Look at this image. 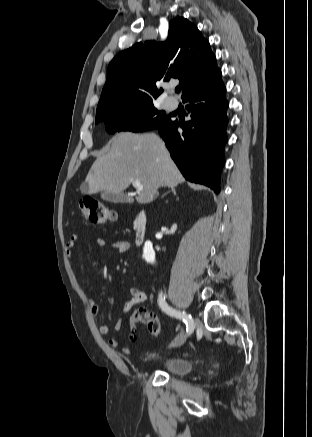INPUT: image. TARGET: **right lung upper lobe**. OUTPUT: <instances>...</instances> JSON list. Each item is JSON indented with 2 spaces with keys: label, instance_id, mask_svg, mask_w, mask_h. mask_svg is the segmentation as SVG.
<instances>
[{
  "label": "right lung upper lobe",
  "instance_id": "right-lung-upper-lobe-1",
  "mask_svg": "<svg viewBox=\"0 0 312 437\" xmlns=\"http://www.w3.org/2000/svg\"><path fill=\"white\" fill-rule=\"evenodd\" d=\"M219 72L209 42L194 24L177 17L169 24L165 42H140L113 58L96 119L125 106L153 102L163 91L156 87L159 80L178 78L183 98Z\"/></svg>",
  "mask_w": 312,
  "mask_h": 437
}]
</instances>
